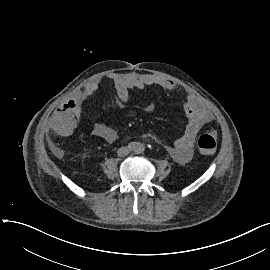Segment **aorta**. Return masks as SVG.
<instances>
[{
	"mask_svg": "<svg viewBox=\"0 0 270 270\" xmlns=\"http://www.w3.org/2000/svg\"><path fill=\"white\" fill-rule=\"evenodd\" d=\"M138 147H140V149H138ZM145 149L144 145L141 144V143H136V149H135V152H143Z\"/></svg>",
	"mask_w": 270,
	"mask_h": 270,
	"instance_id": "aorta-1",
	"label": "aorta"
}]
</instances>
